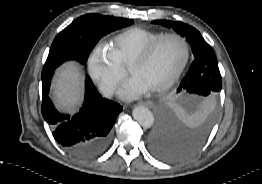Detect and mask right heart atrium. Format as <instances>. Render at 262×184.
Returning a JSON list of instances; mask_svg holds the SVG:
<instances>
[{"label":"right heart atrium","instance_id":"1","mask_svg":"<svg viewBox=\"0 0 262 184\" xmlns=\"http://www.w3.org/2000/svg\"><path fill=\"white\" fill-rule=\"evenodd\" d=\"M88 72L100 91L113 95L126 77L125 70L118 65L110 51L97 47L88 59Z\"/></svg>","mask_w":262,"mask_h":184}]
</instances>
